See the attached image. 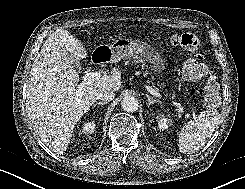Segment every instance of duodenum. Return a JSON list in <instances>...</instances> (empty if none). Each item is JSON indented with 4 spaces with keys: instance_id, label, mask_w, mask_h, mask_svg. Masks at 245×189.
Instances as JSON below:
<instances>
[{
    "instance_id": "1",
    "label": "duodenum",
    "mask_w": 245,
    "mask_h": 189,
    "mask_svg": "<svg viewBox=\"0 0 245 189\" xmlns=\"http://www.w3.org/2000/svg\"><path fill=\"white\" fill-rule=\"evenodd\" d=\"M110 58V53L108 51H105L104 53H95L92 55V62L93 63H100L105 59Z\"/></svg>"
}]
</instances>
